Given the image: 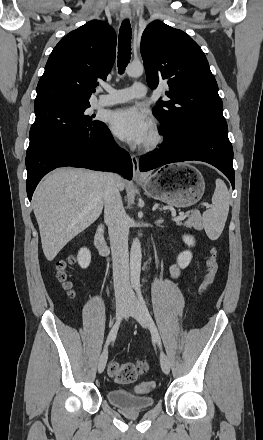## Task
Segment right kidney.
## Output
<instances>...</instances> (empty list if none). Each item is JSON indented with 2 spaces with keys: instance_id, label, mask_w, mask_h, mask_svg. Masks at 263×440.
<instances>
[{
  "instance_id": "obj_1",
  "label": "right kidney",
  "mask_w": 263,
  "mask_h": 440,
  "mask_svg": "<svg viewBox=\"0 0 263 440\" xmlns=\"http://www.w3.org/2000/svg\"><path fill=\"white\" fill-rule=\"evenodd\" d=\"M91 262V253L87 248H81L78 252V264L81 268L86 269Z\"/></svg>"
}]
</instances>
